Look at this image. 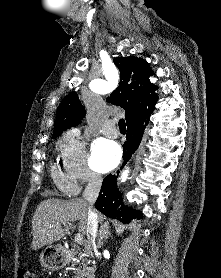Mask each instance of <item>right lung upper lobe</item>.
Returning a JSON list of instances; mask_svg holds the SVG:
<instances>
[{"mask_svg": "<svg viewBox=\"0 0 221 278\" xmlns=\"http://www.w3.org/2000/svg\"><path fill=\"white\" fill-rule=\"evenodd\" d=\"M114 64L120 71V83L107 101L125 110L127 125L150 117L155 108L157 87L149 81L153 74L146 60L137 57H116ZM85 115L76 92L68 94L58 106L52 137L56 138L66 129L78 125Z\"/></svg>", "mask_w": 221, "mask_h": 278, "instance_id": "1", "label": "right lung upper lobe"}]
</instances>
